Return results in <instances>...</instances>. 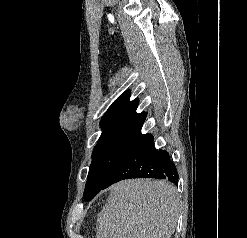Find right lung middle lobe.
<instances>
[{"instance_id":"dd1d6c3e","label":"right lung middle lobe","mask_w":247,"mask_h":238,"mask_svg":"<svg viewBox=\"0 0 247 238\" xmlns=\"http://www.w3.org/2000/svg\"><path fill=\"white\" fill-rule=\"evenodd\" d=\"M144 121L118 122L102 128L92 155L84 200L93 199L110 177L111 171L141 133Z\"/></svg>"}]
</instances>
